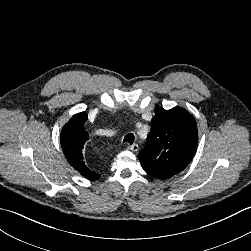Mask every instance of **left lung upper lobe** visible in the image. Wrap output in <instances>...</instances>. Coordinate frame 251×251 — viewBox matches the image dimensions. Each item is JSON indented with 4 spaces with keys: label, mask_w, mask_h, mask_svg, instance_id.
Instances as JSON below:
<instances>
[{
    "label": "left lung upper lobe",
    "mask_w": 251,
    "mask_h": 251,
    "mask_svg": "<svg viewBox=\"0 0 251 251\" xmlns=\"http://www.w3.org/2000/svg\"><path fill=\"white\" fill-rule=\"evenodd\" d=\"M144 149L138 154L143 168L177 174L192 160L198 133L194 117L184 108L158 107Z\"/></svg>",
    "instance_id": "1"
}]
</instances>
